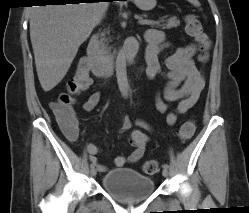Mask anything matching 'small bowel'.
<instances>
[{
    "label": "small bowel",
    "mask_w": 249,
    "mask_h": 213,
    "mask_svg": "<svg viewBox=\"0 0 249 213\" xmlns=\"http://www.w3.org/2000/svg\"><path fill=\"white\" fill-rule=\"evenodd\" d=\"M147 42L146 64L143 72L152 80L158 76H163L166 79V84L161 92L156 96V107L162 113H167V123L174 125L179 115L186 114L192 106L198 101L200 94L204 88L205 80L201 69H199L193 60L197 52L195 44L179 48L175 53L167 57L165 60V68H163L159 53L166 46L164 35L154 29H150L145 33ZM101 99V93L96 91L92 93L84 102L83 108L90 112L95 109ZM176 106L171 110V104ZM138 124L144 128L151 129V125L144 120L133 121L131 118H124L121 122V132L126 133L127 139L134 147L128 158L117 156L114 159V164L117 167H122L129 163L138 162L144 155L149 137L140 130H131L133 124ZM62 128L72 140H75L78 134V123L75 122ZM87 151L90 154L92 162L97 163V154L100 152L98 146L93 143L87 144ZM97 168L101 172L107 170L106 166L97 164Z\"/></svg>",
    "instance_id": "c3829d8e"
}]
</instances>
